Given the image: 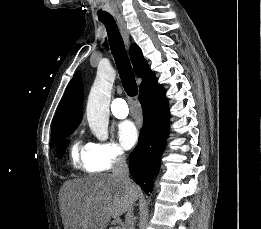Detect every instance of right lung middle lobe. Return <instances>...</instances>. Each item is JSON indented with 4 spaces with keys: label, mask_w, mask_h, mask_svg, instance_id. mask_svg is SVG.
I'll return each mask as SVG.
<instances>
[{
    "label": "right lung middle lobe",
    "mask_w": 261,
    "mask_h": 229,
    "mask_svg": "<svg viewBox=\"0 0 261 229\" xmlns=\"http://www.w3.org/2000/svg\"><path fill=\"white\" fill-rule=\"evenodd\" d=\"M77 126L78 124L57 126L52 129V136L55 137L59 142H62L66 137L74 132ZM67 144L68 140H65L59 145L56 153L57 158H61L64 155Z\"/></svg>",
    "instance_id": "right-lung-middle-lobe-1"
}]
</instances>
